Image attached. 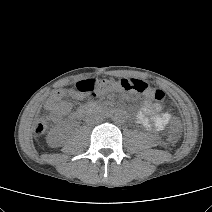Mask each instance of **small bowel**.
Segmentation results:
<instances>
[{
    "instance_id": "small-bowel-1",
    "label": "small bowel",
    "mask_w": 212,
    "mask_h": 212,
    "mask_svg": "<svg viewBox=\"0 0 212 212\" xmlns=\"http://www.w3.org/2000/svg\"><path fill=\"white\" fill-rule=\"evenodd\" d=\"M68 95L73 98H79V94L74 90H55L44 103V109L48 113L50 120L57 122L70 114L72 104L64 97ZM171 119L170 113L163 111L158 103L147 100L144 102L141 110L136 115V121L148 130H163Z\"/></svg>"
}]
</instances>
